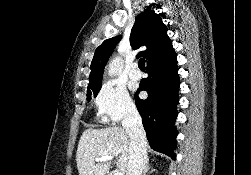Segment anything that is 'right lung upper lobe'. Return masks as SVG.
Instances as JSON below:
<instances>
[{
    "instance_id": "right-lung-upper-lobe-1",
    "label": "right lung upper lobe",
    "mask_w": 251,
    "mask_h": 175,
    "mask_svg": "<svg viewBox=\"0 0 251 175\" xmlns=\"http://www.w3.org/2000/svg\"><path fill=\"white\" fill-rule=\"evenodd\" d=\"M120 39L121 36L109 38L96 49L91 62L88 88L101 87L104 67ZM130 44L133 49L147 46L145 51L137 55L147 59V66L158 65L175 55L172 42L167 35V27L161 16L150 9L137 16L131 30Z\"/></svg>"
}]
</instances>
